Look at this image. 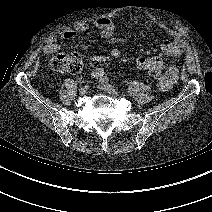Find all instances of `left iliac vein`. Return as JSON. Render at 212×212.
<instances>
[{
    "label": "left iliac vein",
    "instance_id": "left-iliac-vein-1",
    "mask_svg": "<svg viewBox=\"0 0 212 212\" xmlns=\"http://www.w3.org/2000/svg\"><path fill=\"white\" fill-rule=\"evenodd\" d=\"M100 89L103 90L105 93H108L112 96H119V92L111 85L107 83H100Z\"/></svg>",
    "mask_w": 212,
    "mask_h": 212
}]
</instances>
